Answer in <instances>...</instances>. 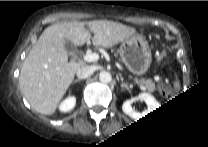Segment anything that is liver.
Returning a JSON list of instances; mask_svg holds the SVG:
<instances>
[{
	"label": "liver",
	"mask_w": 208,
	"mask_h": 147,
	"mask_svg": "<svg viewBox=\"0 0 208 147\" xmlns=\"http://www.w3.org/2000/svg\"><path fill=\"white\" fill-rule=\"evenodd\" d=\"M95 34L92 44L105 49L118 45L134 34L136 29L119 23H64L47 28L37 45L29 53L21 71L20 89L32 107L43 114H53L75 74L87 64L68 61L65 50L67 40L75 45L88 42Z\"/></svg>",
	"instance_id": "liver-1"
}]
</instances>
